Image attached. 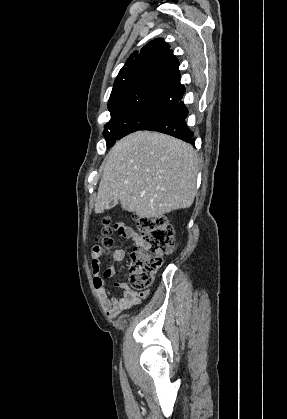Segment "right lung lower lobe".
<instances>
[{
    "label": "right lung lower lobe",
    "instance_id": "obj_1",
    "mask_svg": "<svg viewBox=\"0 0 287 419\" xmlns=\"http://www.w3.org/2000/svg\"><path fill=\"white\" fill-rule=\"evenodd\" d=\"M187 108L182 101L172 104L168 109L146 123L140 130L162 132L194 144V134L186 125Z\"/></svg>",
    "mask_w": 287,
    "mask_h": 419
}]
</instances>
